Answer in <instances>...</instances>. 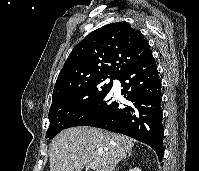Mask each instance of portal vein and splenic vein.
I'll list each match as a JSON object with an SVG mask.
<instances>
[{
    "instance_id": "portal-vein-and-splenic-vein-1",
    "label": "portal vein and splenic vein",
    "mask_w": 199,
    "mask_h": 171,
    "mask_svg": "<svg viewBox=\"0 0 199 171\" xmlns=\"http://www.w3.org/2000/svg\"><path fill=\"white\" fill-rule=\"evenodd\" d=\"M90 168H95L94 164L89 165Z\"/></svg>"
}]
</instances>
